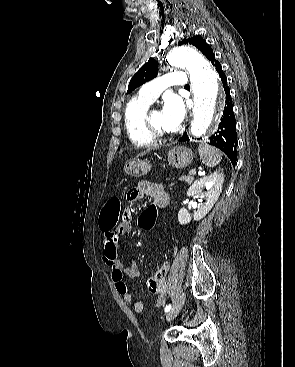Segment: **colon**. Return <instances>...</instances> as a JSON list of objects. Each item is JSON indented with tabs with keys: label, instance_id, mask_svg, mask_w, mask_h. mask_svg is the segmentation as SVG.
<instances>
[{
	"label": "colon",
	"instance_id": "1",
	"mask_svg": "<svg viewBox=\"0 0 295 367\" xmlns=\"http://www.w3.org/2000/svg\"><path fill=\"white\" fill-rule=\"evenodd\" d=\"M148 199L151 205L146 207L139 219L141 231H149L153 227L159 212V207L152 200L153 198L150 196ZM121 217L123 218V209L120 199L117 197L110 198L103 206L100 214L99 225L101 230L113 229Z\"/></svg>",
	"mask_w": 295,
	"mask_h": 367
}]
</instances>
